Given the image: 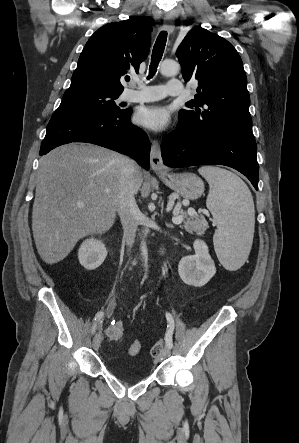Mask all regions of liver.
Listing matches in <instances>:
<instances>
[{
	"label": "liver",
	"mask_w": 299,
	"mask_h": 443,
	"mask_svg": "<svg viewBox=\"0 0 299 443\" xmlns=\"http://www.w3.org/2000/svg\"><path fill=\"white\" fill-rule=\"evenodd\" d=\"M128 160L105 148L77 143L55 148L40 159L32 231L44 262L63 260L79 239L112 227L121 170ZM135 177L137 192L143 182L138 166Z\"/></svg>",
	"instance_id": "1"
}]
</instances>
